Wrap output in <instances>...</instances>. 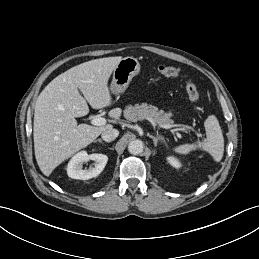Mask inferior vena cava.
<instances>
[{
	"mask_svg": "<svg viewBox=\"0 0 259 259\" xmlns=\"http://www.w3.org/2000/svg\"><path fill=\"white\" fill-rule=\"evenodd\" d=\"M119 135V131L117 129H108L104 131L101 135L102 139L106 142H111L115 140Z\"/></svg>",
	"mask_w": 259,
	"mask_h": 259,
	"instance_id": "obj_1",
	"label": "inferior vena cava"
}]
</instances>
